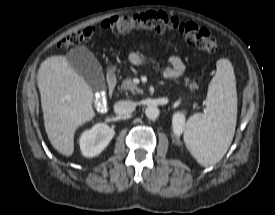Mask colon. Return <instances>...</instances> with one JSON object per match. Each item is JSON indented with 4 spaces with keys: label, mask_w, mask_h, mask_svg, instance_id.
Returning a JSON list of instances; mask_svg holds the SVG:
<instances>
[{
    "label": "colon",
    "mask_w": 275,
    "mask_h": 215,
    "mask_svg": "<svg viewBox=\"0 0 275 215\" xmlns=\"http://www.w3.org/2000/svg\"><path fill=\"white\" fill-rule=\"evenodd\" d=\"M137 30L177 33L185 41L194 44L205 52L214 53L218 49L216 38L206 28L156 11L113 16L103 21L99 26L88 27L65 36L57 43L56 49L62 51L70 46L89 42L101 31L126 34Z\"/></svg>",
    "instance_id": "colon-1"
}]
</instances>
